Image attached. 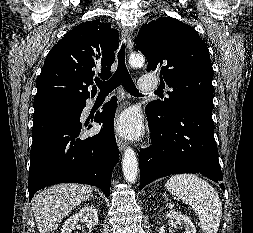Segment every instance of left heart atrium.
<instances>
[{"label":"left heart atrium","mask_w":253,"mask_h":233,"mask_svg":"<svg viewBox=\"0 0 253 233\" xmlns=\"http://www.w3.org/2000/svg\"><path fill=\"white\" fill-rule=\"evenodd\" d=\"M142 129L140 118L134 111L125 112L117 122V130L124 136L136 137Z\"/></svg>","instance_id":"1"}]
</instances>
